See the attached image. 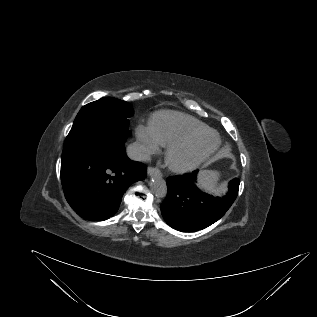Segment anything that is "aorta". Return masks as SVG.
<instances>
[{
	"instance_id": "obj_1",
	"label": "aorta",
	"mask_w": 317,
	"mask_h": 317,
	"mask_svg": "<svg viewBox=\"0 0 317 317\" xmlns=\"http://www.w3.org/2000/svg\"><path fill=\"white\" fill-rule=\"evenodd\" d=\"M150 187L152 193L158 198H164L167 194L166 182L159 172L152 175Z\"/></svg>"
}]
</instances>
